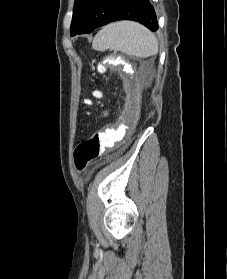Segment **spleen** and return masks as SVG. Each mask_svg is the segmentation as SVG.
<instances>
[{
    "label": "spleen",
    "mask_w": 227,
    "mask_h": 279,
    "mask_svg": "<svg viewBox=\"0 0 227 279\" xmlns=\"http://www.w3.org/2000/svg\"><path fill=\"white\" fill-rule=\"evenodd\" d=\"M92 47L97 51H121L140 58L158 53V42L154 34L143 25L131 21L105 26L94 37Z\"/></svg>",
    "instance_id": "1"
}]
</instances>
